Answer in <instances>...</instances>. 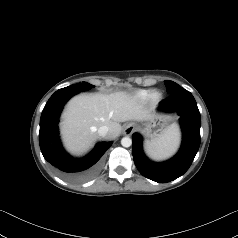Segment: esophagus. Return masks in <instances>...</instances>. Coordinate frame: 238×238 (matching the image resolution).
<instances>
[{"instance_id":"obj_1","label":"esophagus","mask_w":238,"mask_h":238,"mask_svg":"<svg viewBox=\"0 0 238 238\" xmlns=\"http://www.w3.org/2000/svg\"><path fill=\"white\" fill-rule=\"evenodd\" d=\"M135 129V126L133 124H128L125 128V133L130 135L131 133H133Z\"/></svg>"}]
</instances>
